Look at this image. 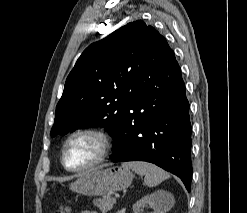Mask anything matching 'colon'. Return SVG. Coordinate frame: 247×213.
Instances as JSON below:
<instances>
[{
  "label": "colon",
  "instance_id": "colon-1",
  "mask_svg": "<svg viewBox=\"0 0 247 213\" xmlns=\"http://www.w3.org/2000/svg\"><path fill=\"white\" fill-rule=\"evenodd\" d=\"M55 213H70V209L67 206H61Z\"/></svg>",
  "mask_w": 247,
  "mask_h": 213
}]
</instances>
